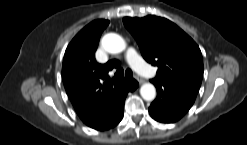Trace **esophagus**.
Instances as JSON below:
<instances>
[{"label":"esophagus","instance_id":"34e87169","mask_svg":"<svg viewBox=\"0 0 247 145\" xmlns=\"http://www.w3.org/2000/svg\"><path fill=\"white\" fill-rule=\"evenodd\" d=\"M135 78L139 82V84H143L144 83L143 78H141L140 76H136Z\"/></svg>","mask_w":247,"mask_h":145}]
</instances>
